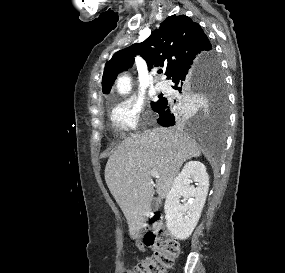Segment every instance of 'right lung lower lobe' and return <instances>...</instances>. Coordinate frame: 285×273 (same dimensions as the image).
<instances>
[{
    "label": "right lung lower lobe",
    "instance_id": "obj_1",
    "mask_svg": "<svg viewBox=\"0 0 285 273\" xmlns=\"http://www.w3.org/2000/svg\"><path fill=\"white\" fill-rule=\"evenodd\" d=\"M208 57L201 58L194 66L187 67L170 80L174 82L173 88L180 93H185L191 90L196 84H199L201 77L204 74ZM188 106V105H187ZM186 106V107H187ZM172 108L170 101L167 98H160L152 107V110L159 114L158 122L165 127L173 126L184 115L185 108Z\"/></svg>",
    "mask_w": 285,
    "mask_h": 273
}]
</instances>
